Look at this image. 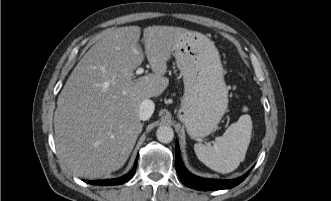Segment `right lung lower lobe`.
Instances as JSON below:
<instances>
[{
  "label": "right lung lower lobe",
  "mask_w": 331,
  "mask_h": 201,
  "mask_svg": "<svg viewBox=\"0 0 331 201\" xmlns=\"http://www.w3.org/2000/svg\"><path fill=\"white\" fill-rule=\"evenodd\" d=\"M135 168H136V163L134 165V168L125 176L121 177V178H116V179H108V180H95V181H85L89 184H94V185H119V184H123L127 181H129L132 176L135 173Z\"/></svg>",
  "instance_id": "98d812e1"
}]
</instances>
